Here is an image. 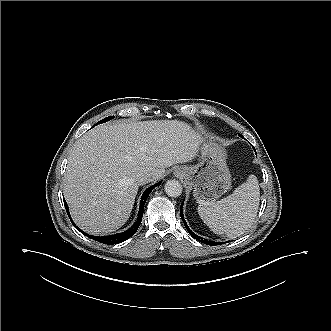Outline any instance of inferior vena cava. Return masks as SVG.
Here are the masks:
<instances>
[{
    "label": "inferior vena cava",
    "instance_id": "inferior-vena-cava-1",
    "mask_svg": "<svg viewBox=\"0 0 331 331\" xmlns=\"http://www.w3.org/2000/svg\"><path fill=\"white\" fill-rule=\"evenodd\" d=\"M154 179H155L154 174H143L137 179V183L139 185H143V184H146V183H149V182H153Z\"/></svg>",
    "mask_w": 331,
    "mask_h": 331
}]
</instances>
